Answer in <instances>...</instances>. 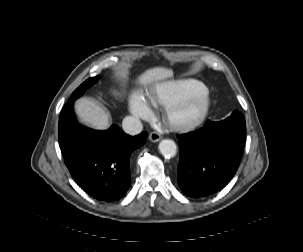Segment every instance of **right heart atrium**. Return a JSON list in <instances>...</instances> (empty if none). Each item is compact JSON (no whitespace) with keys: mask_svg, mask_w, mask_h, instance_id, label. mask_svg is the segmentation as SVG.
<instances>
[{"mask_svg":"<svg viewBox=\"0 0 303 252\" xmlns=\"http://www.w3.org/2000/svg\"><path fill=\"white\" fill-rule=\"evenodd\" d=\"M127 106L136 119H148L153 113L151 106L136 93L129 96Z\"/></svg>","mask_w":303,"mask_h":252,"instance_id":"obj_1","label":"right heart atrium"}]
</instances>
